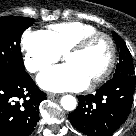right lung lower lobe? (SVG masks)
<instances>
[{"instance_id":"1","label":"right lung lower lobe","mask_w":136,"mask_h":136,"mask_svg":"<svg viewBox=\"0 0 136 136\" xmlns=\"http://www.w3.org/2000/svg\"><path fill=\"white\" fill-rule=\"evenodd\" d=\"M46 99L28 73L0 78V136H27L39 119Z\"/></svg>"}]
</instances>
